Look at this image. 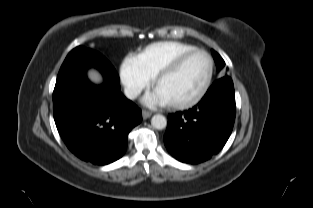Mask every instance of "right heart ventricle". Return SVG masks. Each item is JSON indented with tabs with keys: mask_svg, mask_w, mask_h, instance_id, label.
Listing matches in <instances>:
<instances>
[{
	"mask_svg": "<svg viewBox=\"0 0 313 208\" xmlns=\"http://www.w3.org/2000/svg\"><path fill=\"white\" fill-rule=\"evenodd\" d=\"M196 46L179 41H162L147 46L135 58V65L150 77H155L180 54Z\"/></svg>",
	"mask_w": 313,
	"mask_h": 208,
	"instance_id": "obj_1",
	"label": "right heart ventricle"
}]
</instances>
